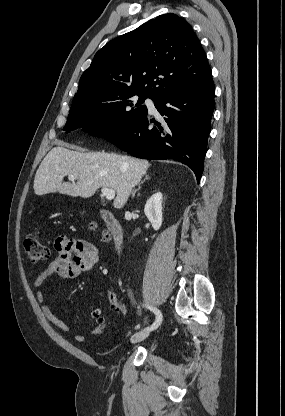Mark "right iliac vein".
I'll use <instances>...</instances> for the list:
<instances>
[{
    "mask_svg": "<svg viewBox=\"0 0 285 416\" xmlns=\"http://www.w3.org/2000/svg\"><path fill=\"white\" fill-rule=\"evenodd\" d=\"M151 329L150 328H145L137 333H135L132 337H131V342L132 343H137V342H141L144 339H146L150 333Z\"/></svg>",
    "mask_w": 285,
    "mask_h": 416,
    "instance_id": "obj_1",
    "label": "right iliac vein"
}]
</instances>
